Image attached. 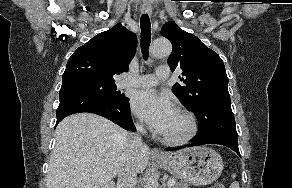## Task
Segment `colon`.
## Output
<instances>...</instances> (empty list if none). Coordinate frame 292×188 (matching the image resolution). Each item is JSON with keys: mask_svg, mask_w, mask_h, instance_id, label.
<instances>
[{"mask_svg": "<svg viewBox=\"0 0 292 188\" xmlns=\"http://www.w3.org/2000/svg\"><path fill=\"white\" fill-rule=\"evenodd\" d=\"M210 188H224V185L221 184V183H217V184L213 185V186L210 187Z\"/></svg>", "mask_w": 292, "mask_h": 188, "instance_id": "colon-1", "label": "colon"}]
</instances>
